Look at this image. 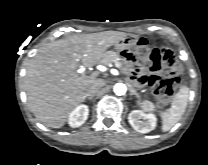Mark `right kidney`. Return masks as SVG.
Instances as JSON below:
<instances>
[{
	"label": "right kidney",
	"mask_w": 208,
	"mask_h": 165,
	"mask_svg": "<svg viewBox=\"0 0 208 165\" xmlns=\"http://www.w3.org/2000/svg\"><path fill=\"white\" fill-rule=\"evenodd\" d=\"M89 109L87 105L77 106L69 115L68 123L71 127H79L88 118Z\"/></svg>",
	"instance_id": "1"
}]
</instances>
